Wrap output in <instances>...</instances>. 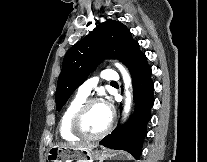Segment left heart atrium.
I'll use <instances>...</instances> for the list:
<instances>
[{"label":"left heart atrium","mask_w":207,"mask_h":162,"mask_svg":"<svg viewBox=\"0 0 207 162\" xmlns=\"http://www.w3.org/2000/svg\"><path fill=\"white\" fill-rule=\"evenodd\" d=\"M102 104H103V106L106 108V110L109 112V114H111V113H112V107H111L109 101L106 100V101H104Z\"/></svg>","instance_id":"1"}]
</instances>
